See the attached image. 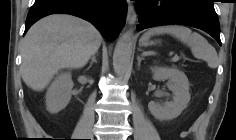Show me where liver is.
<instances>
[{
	"mask_svg": "<svg viewBox=\"0 0 236 140\" xmlns=\"http://www.w3.org/2000/svg\"><path fill=\"white\" fill-rule=\"evenodd\" d=\"M101 42L99 31L83 19L47 16L35 23L22 41V79L31 89L42 91L60 69L85 66Z\"/></svg>",
	"mask_w": 236,
	"mask_h": 140,
	"instance_id": "obj_1",
	"label": "liver"
}]
</instances>
